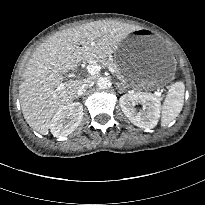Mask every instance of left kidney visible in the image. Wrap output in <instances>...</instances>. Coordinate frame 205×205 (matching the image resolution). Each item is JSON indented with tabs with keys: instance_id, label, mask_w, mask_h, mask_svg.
<instances>
[{
	"instance_id": "1",
	"label": "left kidney",
	"mask_w": 205,
	"mask_h": 205,
	"mask_svg": "<svg viewBox=\"0 0 205 205\" xmlns=\"http://www.w3.org/2000/svg\"><path fill=\"white\" fill-rule=\"evenodd\" d=\"M119 104L125 116L134 125L142 129L154 128L160 118V99L150 94L130 93L120 97ZM136 104L143 106L142 110L135 108Z\"/></svg>"
}]
</instances>
